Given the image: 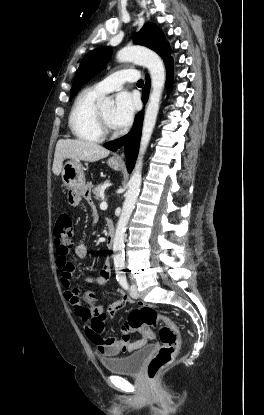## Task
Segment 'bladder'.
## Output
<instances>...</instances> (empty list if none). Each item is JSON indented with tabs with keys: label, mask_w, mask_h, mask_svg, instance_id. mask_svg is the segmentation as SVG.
Here are the masks:
<instances>
[{
	"label": "bladder",
	"mask_w": 264,
	"mask_h": 415,
	"mask_svg": "<svg viewBox=\"0 0 264 415\" xmlns=\"http://www.w3.org/2000/svg\"><path fill=\"white\" fill-rule=\"evenodd\" d=\"M155 351L154 344H148L132 352L130 355L102 359V364L108 372L118 374H139L146 359Z\"/></svg>",
	"instance_id": "31cf9c89"
}]
</instances>
